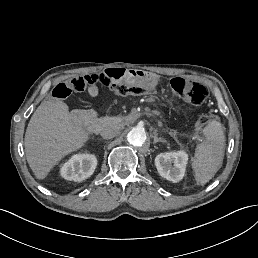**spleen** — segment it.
<instances>
[{
    "label": "spleen",
    "instance_id": "spleen-1",
    "mask_svg": "<svg viewBox=\"0 0 258 258\" xmlns=\"http://www.w3.org/2000/svg\"><path fill=\"white\" fill-rule=\"evenodd\" d=\"M205 139L199 143L192 158V167L195 179L199 184L205 185L214 177L217 170L221 167L225 136L221 123L212 121L203 129Z\"/></svg>",
    "mask_w": 258,
    "mask_h": 258
}]
</instances>
